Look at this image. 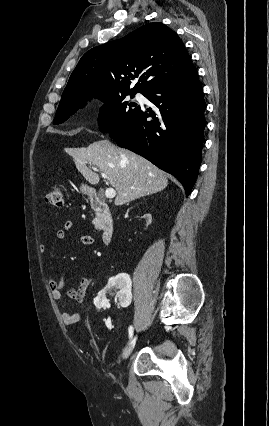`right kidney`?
<instances>
[{"mask_svg": "<svg viewBox=\"0 0 269 426\" xmlns=\"http://www.w3.org/2000/svg\"><path fill=\"white\" fill-rule=\"evenodd\" d=\"M147 219V220H146ZM143 224L141 228L144 231H147L150 228V223L152 220L151 214H145L141 217ZM129 275L128 273H119L118 277L112 278L109 280L107 286H103L101 292L98 294V297L95 299V305L104 311H109L111 309V304L106 299L105 295H113L116 290H120L118 292V300L116 308L118 311H127L128 307L131 305L133 292L131 288V283L128 281Z\"/></svg>", "mask_w": 269, "mask_h": 426, "instance_id": "obj_1", "label": "right kidney"}]
</instances>
